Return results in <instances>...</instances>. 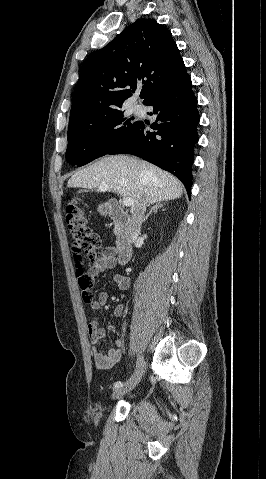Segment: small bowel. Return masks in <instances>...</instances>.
<instances>
[{
	"label": "small bowel",
	"instance_id": "obj_1",
	"mask_svg": "<svg viewBox=\"0 0 266 479\" xmlns=\"http://www.w3.org/2000/svg\"><path fill=\"white\" fill-rule=\"evenodd\" d=\"M117 262L110 251L102 253L94 265L90 268L89 273L91 276L96 277L100 273L116 267ZM111 282L119 289L125 290L129 286L128 277L122 274H115L110 277ZM108 296L105 292H101L96 300L90 303V307L94 312L91 321L88 324V336L92 345V357L95 366L99 369H108L117 364L122 357L123 340L117 338L115 340V347L106 350L105 353L101 352L98 348L99 342L106 337V330L99 325L98 317L95 313L101 311L107 304ZM115 317H123L125 315V307L122 304L115 306L113 310Z\"/></svg>",
	"mask_w": 266,
	"mask_h": 479
}]
</instances>
